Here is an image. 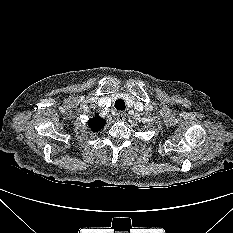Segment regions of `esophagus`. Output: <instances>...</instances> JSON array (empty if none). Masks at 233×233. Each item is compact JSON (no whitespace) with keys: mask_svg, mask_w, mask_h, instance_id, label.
<instances>
[{"mask_svg":"<svg viewBox=\"0 0 233 233\" xmlns=\"http://www.w3.org/2000/svg\"><path fill=\"white\" fill-rule=\"evenodd\" d=\"M117 120L118 121H124L125 120V114L123 112H119L117 114Z\"/></svg>","mask_w":233,"mask_h":233,"instance_id":"obj_1","label":"esophagus"}]
</instances>
